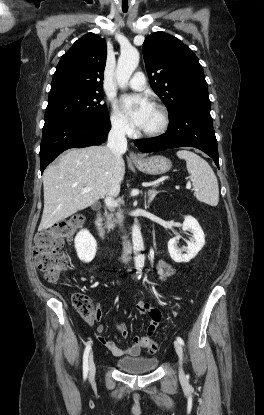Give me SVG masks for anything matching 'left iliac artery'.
Listing matches in <instances>:
<instances>
[{
	"instance_id": "44dca946",
	"label": "left iliac artery",
	"mask_w": 264,
	"mask_h": 415,
	"mask_svg": "<svg viewBox=\"0 0 264 415\" xmlns=\"http://www.w3.org/2000/svg\"><path fill=\"white\" fill-rule=\"evenodd\" d=\"M177 341L181 344L184 345V341L181 337H177Z\"/></svg>"
}]
</instances>
